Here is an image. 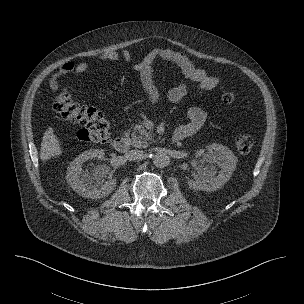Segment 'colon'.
<instances>
[{
  "label": "colon",
  "mask_w": 304,
  "mask_h": 304,
  "mask_svg": "<svg viewBox=\"0 0 304 304\" xmlns=\"http://www.w3.org/2000/svg\"><path fill=\"white\" fill-rule=\"evenodd\" d=\"M52 100V108L60 118L76 123L80 128L77 138L83 142L106 143L110 138V122L95 107L81 105L73 100L67 87L59 89L57 86ZM237 99L235 90H223L222 100L231 105ZM254 141L251 136L243 134L235 138V145L239 152L249 153Z\"/></svg>",
  "instance_id": "1"
}]
</instances>
